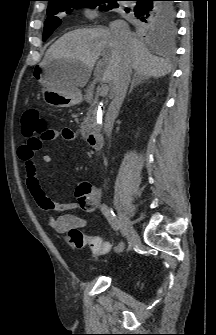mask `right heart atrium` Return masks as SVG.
<instances>
[{
	"mask_svg": "<svg viewBox=\"0 0 216 335\" xmlns=\"http://www.w3.org/2000/svg\"><path fill=\"white\" fill-rule=\"evenodd\" d=\"M85 14L90 19H93L96 17V11L94 10H87Z\"/></svg>",
	"mask_w": 216,
	"mask_h": 335,
	"instance_id": "right-heart-atrium-1",
	"label": "right heart atrium"
}]
</instances>
